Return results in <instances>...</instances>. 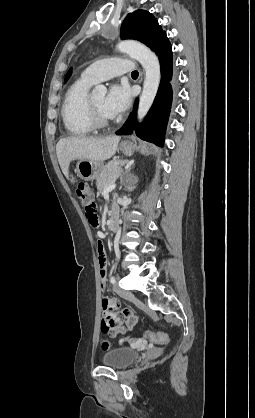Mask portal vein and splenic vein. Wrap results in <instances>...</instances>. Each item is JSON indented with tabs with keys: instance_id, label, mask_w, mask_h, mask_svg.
I'll list each match as a JSON object with an SVG mask.
<instances>
[{
	"instance_id": "18ae733b",
	"label": "portal vein and splenic vein",
	"mask_w": 255,
	"mask_h": 418,
	"mask_svg": "<svg viewBox=\"0 0 255 418\" xmlns=\"http://www.w3.org/2000/svg\"><path fill=\"white\" fill-rule=\"evenodd\" d=\"M115 187H116V184L115 183H112V184H110L109 186H107L105 189H104V193H109V192H111L112 190H114L115 189Z\"/></svg>"
}]
</instances>
